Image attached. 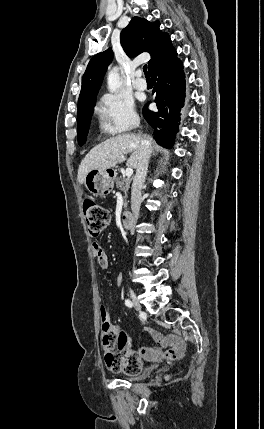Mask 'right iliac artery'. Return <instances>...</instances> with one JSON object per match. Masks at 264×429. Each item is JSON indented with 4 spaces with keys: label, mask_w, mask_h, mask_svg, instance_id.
Wrapping results in <instances>:
<instances>
[{
    "label": "right iliac artery",
    "mask_w": 264,
    "mask_h": 429,
    "mask_svg": "<svg viewBox=\"0 0 264 429\" xmlns=\"http://www.w3.org/2000/svg\"><path fill=\"white\" fill-rule=\"evenodd\" d=\"M125 305L127 306V307H133V303H132V301H130L129 299H126L125 300Z\"/></svg>",
    "instance_id": "82829eb1"
}]
</instances>
